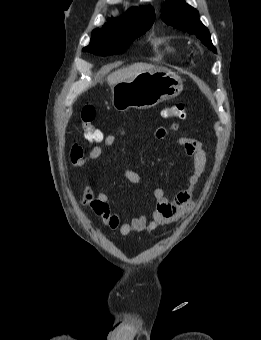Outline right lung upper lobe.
<instances>
[{
	"label": "right lung upper lobe",
	"instance_id": "cb5924a9",
	"mask_svg": "<svg viewBox=\"0 0 261 340\" xmlns=\"http://www.w3.org/2000/svg\"><path fill=\"white\" fill-rule=\"evenodd\" d=\"M155 18V11L151 6L132 8L127 11L120 20L110 19L109 21H119L124 23L152 22Z\"/></svg>",
	"mask_w": 261,
	"mask_h": 340
}]
</instances>
